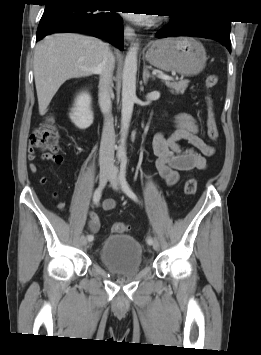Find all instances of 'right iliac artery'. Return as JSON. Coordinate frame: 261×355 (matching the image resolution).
<instances>
[{
  "mask_svg": "<svg viewBox=\"0 0 261 355\" xmlns=\"http://www.w3.org/2000/svg\"><path fill=\"white\" fill-rule=\"evenodd\" d=\"M102 189H103V186H99L95 192H94V196H93V202L96 204L99 202L100 198H101V195H102ZM87 239L88 241H93L94 237L93 235H88L87 236Z\"/></svg>",
  "mask_w": 261,
  "mask_h": 355,
  "instance_id": "right-iliac-artery-1",
  "label": "right iliac artery"
}]
</instances>
